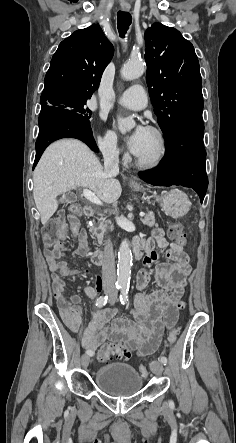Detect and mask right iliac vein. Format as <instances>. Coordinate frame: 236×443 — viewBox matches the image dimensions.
Segmentation results:
<instances>
[{"label":"right iliac vein","mask_w":236,"mask_h":443,"mask_svg":"<svg viewBox=\"0 0 236 443\" xmlns=\"http://www.w3.org/2000/svg\"><path fill=\"white\" fill-rule=\"evenodd\" d=\"M90 362V357L87 354L81 356V364L84 368H87Z\"/></svg>","instance_id":"1"}]
</instances>
